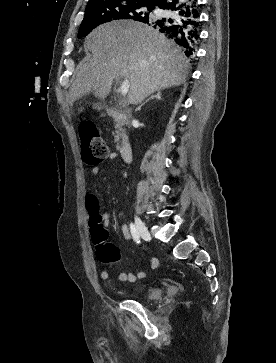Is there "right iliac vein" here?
<instances>
[{"label": "right iliac vein", "mask_w": 276, "mask_h": 363, "mask_svg": "<svg viewBox=\"0 0 276 363\" xmlns=\"http://www.w3.org/2000/svg\"><path fill=\"white\" fill-rule=\"evenodd\" d=\"M135 224H136L137 231H138L139 235L142 237V239L145 241H150L151 235H150L147 227L145 226L144 222L137 216L135 217Z\"/></svg>", "instance_id": "obj_1"}]
</instances>
